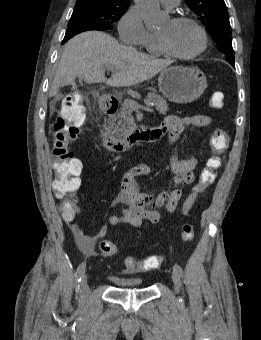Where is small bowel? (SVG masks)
<instances>
[{"mask_svg":"<svg viewBox=\"0 0 261 340\" xmlns=\"http://www.w3.org/2000/svg\"><path fill=\"white\" fill-rule=\"evenodd\" d=\"M211 118L207 115L192 116H167L163 122L156 127L161 138H166L165 160L173 174L172 185L153 197L142 193L137 189L136 178L147 176L151 169L146 165H137L128 169L122 176L121 189L112 201L113 206H122L121 210L109 216L110 225L126 224L139 228L145 222L156 223L159 221V209L165 206L168 213H173L182 197V186L192 184L195 181L194 170L197 166L195 158L181 159L174 148V143L179 139L181 133L187 126L208 127ZM199 190L195 187L183 203L182 213L188 214ZM78 207L76 206V212ZM75 214L63 215V220L71 230L79 249L86 253H94L96 242L103 238L108 230L103 225L94 235H86L81 227L75 222Z\"/></svg>","mask_w":261,"mask_h":340,"instance_id":"c3829d8e","label":"small bowel"}]
</instances>
